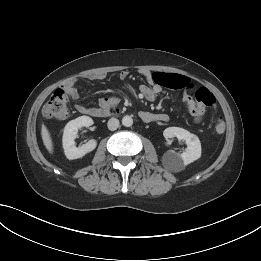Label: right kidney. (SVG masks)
I'll use <instances>...</instances> for the list:
<instances>
[{
    "instance_id": "obj_1",
    "label": "right kidney",
    "mask_w": 261,
    "mask_h": 261,
    "mask_svg": "<svg viewBox=\"0 0 261 261\" xmlns=\"http://www.w3.org/2000/svg\"><path fill=\"white\" fill-rule=\"evenodd\" d=\"M93 124V120L89 116H80L67 123L63 133V148L66 157L69 160L82 158L87 153L93 151L97 146L95 139L89 140L86 144L80 147L75 146V138L77 137L78 129L81 127H89Z\"/></svg>"
}]
</instances>
